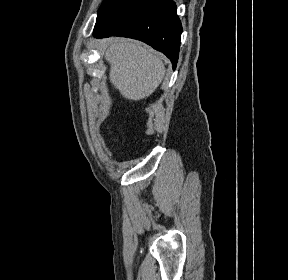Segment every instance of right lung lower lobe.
<instances>
[{"mask_svg":"<svg viewBox=\"0 0 288 280\" xmlns=\"http://www.w3.org/2000/svg\"><path fill=\"white\" fill-rule=\"evenodd\" d=\"M176 11L172 0H123L97 18L93 35L141 40L165 54L175 69L182 33Z\"/></svg>","mask_w":288,"mask_h":280,"instance_id":"1","label":"right lung lower lobe"}]
</instances>
